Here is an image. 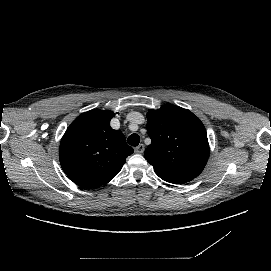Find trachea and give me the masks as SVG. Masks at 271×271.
I'll list each match as a JSON object with an SVG mask.
<instances>
[{"label": "trachea", "instance_id": "trachea-1", "mask_svg": "<svg viewBox=\"0 0 271 271\" xmlns=\"http://www.w3.org/2000/svg\"><path fill=\"white\" fill-rule=\"evenodd\" d=\"M127 142L131 146H137L140 142V137L137 134H132L128 137Z\"/></svg>", "mask_w": 271, "mask_h": 271}]
</instances>
